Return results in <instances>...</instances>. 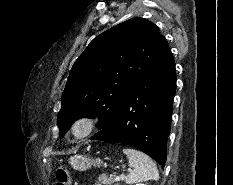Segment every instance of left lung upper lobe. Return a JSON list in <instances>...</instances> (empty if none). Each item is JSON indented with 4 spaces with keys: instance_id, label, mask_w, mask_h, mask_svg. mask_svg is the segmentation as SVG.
Instances as JSON below:
<instances>
[{
    "instance_id": "obj_1",
    "label": "left lung upper lobe",
    "mask_w": 233,
    "mask_h": 185,
    "mask_svg": "<svg viewBox=\"0 0 233 185\" xmlns=\"http://www.w3.org/2000/svg\"><path fill=\"white\" fill-rule=\"evenodd\" d=\"M159 28L144 18H132L95 37L75 61L58 113L61 137L82 117H98L103 129L142 75L168 48Z\"/></svg>"
}]
</instances>
